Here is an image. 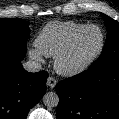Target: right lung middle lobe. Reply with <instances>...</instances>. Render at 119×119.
<instances>
[{"label": "right lung middle lobe", "mask_w": 119, "mask_h": 119, "mask_svg": "<svg viewBox=\"0 0 119 119\" xmlns=\"http://www.w3.org/2000/svg\"><path fill=\"white\" fill-rule=\"evenodd\" d=\"M29 23L20 18L0 19V48L26 53Z\"/></svg>", "instance_id": "dd1d6c3e"}]
</instances>
